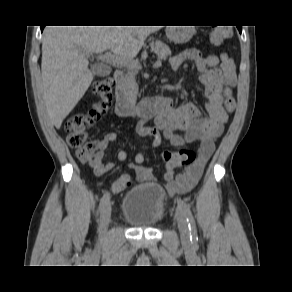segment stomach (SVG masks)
<instances>
[{
	"instance_id": "stomach-1",
	"label": "stomach",
	"mask_w": 292,
	"mask_h": 292,
	"mask_svg": "<svg viewBox=\"0 0 292 292\" xmlns=\"http://www.w3.org/2000/svg\"><path fill=\"white\" fill-rule=\"evenodd\" d=\"M195 32L194 26L170 27L166 29L168 39L174 43L188 42Z\"/></svg>"
}]
</instances>
